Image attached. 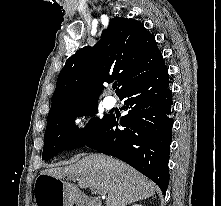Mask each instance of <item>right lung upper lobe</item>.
<instances>
[{"label":"right lung upper lobe","instance_id":"obj_1","mask_svg":"<svg viewBox=\"0 0 221 206\" xmlns=\"http://www.w3.org/2000/svg\"><path fill=\"white\" fill-rule=\"evenodd\" d=\"M162 62L154 35L142 23L113 18L94 47H83L66 61L57 79L49 114L61 108L97 103L104 82L115 81L120 97L132 83Z\"/></svg>","mask_w":221,"mask_h":206}]
</instances>
